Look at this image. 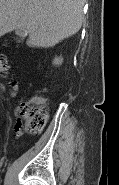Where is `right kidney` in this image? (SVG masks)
<instances>
[{
	"label": "right kidney",
	"mask_w": 119,
	"mask_h": 185,
	"mask_svg": "<svg viewBox=\"0 0 119 185\" xmlns=\"http://www.w3.org/2000/svg\"><path fill=\"white\" fill-rule=\"evenodd\" d=\"M63 62V58L60 56V57H56L54 60H53V64L54 65H60L61 63Z\"/></svg>",
	"instance_id": "obj_1"
}]
</instances>
